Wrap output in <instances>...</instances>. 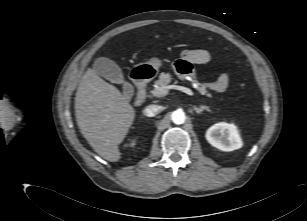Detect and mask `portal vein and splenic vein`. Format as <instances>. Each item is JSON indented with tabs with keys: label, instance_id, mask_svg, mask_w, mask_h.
I'll return each mask as SVG.
<instances>
[{
	"label": "portal vein and splenic vein",
	"instance_id": "18ae733b",
	"mask_svg": "<svg viewBox=\"0 0 307 221\" xmlns=\"http://www.w3.org/2000/svg\"><path fill=\"white\" fill-rule=\"evenodd\" d=\"M170 89L180 90V91H182V92H184V93H186V94H188V95H190V96H193V95H194V93L192 92V90H190V89L187 88V87L179 86V85H168V86H166V87H164V88H162V89L157 90V91L155 92V94H156V96H158V97H162V96L167 95V94H168V91H169Z\"/></svg>",
	"mask_w": 307,
	"mask_h": 221
}]
</instances>
